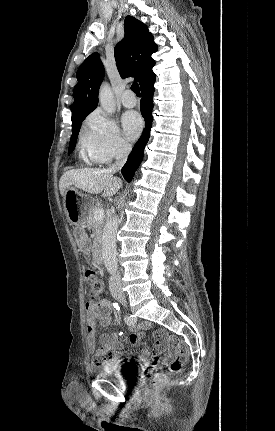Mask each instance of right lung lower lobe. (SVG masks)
Returning <instances> with one entry per match:
<instances>
[{
	"label": "right lung lower lobe",
	"instance_id": "obj_1",
	"mask_svg": "<svg viewBox=\"0 0 275 431\" xmlns=\"http://www.w3.org/2000/svg\"><path fill=\"white\" fill-rule=\"evenodd\" d=\"M154 81L146 85L142 91L143 98L141 99V114L145 119V129L139 138L138 142L133 147L126 164L122 168V175L126 181L130 182L134 176L135 171L142 162L144 155V148L150 137V130L152 127L153 117V92H154Z\"/></svg>",
	"mask_w": 275,
	"mask_h": 431
}]
</instances>
